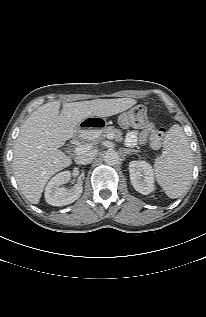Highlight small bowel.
Segmentation results:
<instances>
[{"label": "small bowel", "mask_w": 206, "mask_h": 317, "mask_svg": "<svg viewBox=\"0 0 206 317\" xmlns=\"http://www.w3.org/2000/svg\"><path fill=\"white\" fill-rule=\"evenodd\" d=\"M154 130V125L148 123L142 131H131L126 136V143L129 146H134L136 144H142L146 141L148 135Z\"/></svg>", "instance_id": "obj_1"}]
</instances>
